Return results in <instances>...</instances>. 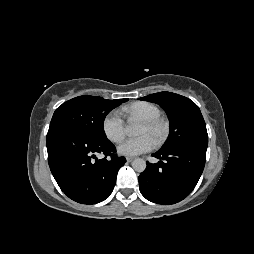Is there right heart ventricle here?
Wrapping results in <instances>:
<instances>
[{
	"mask_svg": "<svg viewBox=\"0 0 254 254\" xmlns=\"http://www.w3.org/2000/svg\"><path fill=\"white\" fill-rule=\"evenodd\" d=\"M122 112L130 117H138L141 120L151 119L161 116L160 109L146 101H136L122 108Z\"/></svg>",
	"mask_w": 254,
	"mask_h": 254,
	"instance_id": "e07e8e85",
	"label": "right heart ventricle"
}]
</instances>
